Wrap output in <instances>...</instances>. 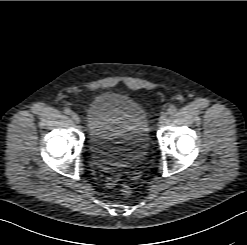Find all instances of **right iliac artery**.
Returning a JSON list of instances; mask_svg holds the SVG:
<instances>
[{
    "mask_svg": "<svg viewBox=\"0 0 247 245\" xmlns=\"http://www.w3.org/2000/svg\"><path fill=\"white\" fill-rule=\"evenodd\" d=\"M64 113L67 114V115H70L71 114V109L70 108H65L64 109Z\"/></svg>",
    "mask_w": 247,
    "mask_h": 245,
    "instance_id": "obj_1",
    "label": "right iliac artery"
}]
</instances>
